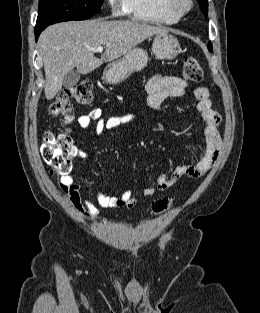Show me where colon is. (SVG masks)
I'll return each instance as SVG.
<instances>
[{
	"label": "colon",
	"instance_id": "colon-1",
	"mask_svg": "<svg viewBox=\"0 0 260 313\" xmlns=\"http://www.w3.org/2000/svg\"><path fill=\"white\" fill-rule=\"evenodd\" d=\"M182 74L186 80L194 82L204 78V71L194 57L184 59ZM93 94V83L82 81L59 92L50 104L49 114L55 118H62L64 122H69L73 110V101L79 104H89L93 99ZM41 150L44 160L55 175L66 176L69 174L73 167V161L77 157V150L68 133L46 132ZM172 205V198H162L153 203L152 211L155 214H161L171 208Z\"/></svg>",
	"mask_w": 260,
	"mask_h": 313
}]
</instances>
